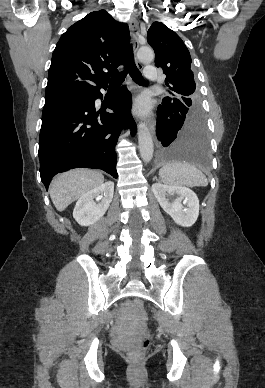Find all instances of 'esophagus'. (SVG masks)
Masks as SVG:
<instances>
[{
    "instance_id": "obj_1",
    "label": "esophagus",
    "mask_w": 265,
    "mask_h": 388,
    "mask_svg": "<svg viewBox=\"0 0 265 388\" xmlns=\"http://www.w3.org/2000/svg\"><path fill=\"white\" fill-rule=\"evenodd\" d=\"M129 28L131 31L132 35V42H133V50L134 54H136L138 48H139V41H138V35H139V23L136 18H131L129 21ZM136 61V66L139 68V70H142L143 65L140 63L137 59ZM149 129L153 135H155V126H154V121L152 119H149Z\"/></svg>"
}]
</instances>
